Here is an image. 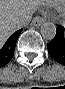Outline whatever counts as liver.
<instances>
[{"instance_id":"obj_1","label":"liver","mask_w":65,"mask_h":89,"mask_svg":"<svg viewBox=\"0 0 65 89\" xmlns=\"http://www.w3.org/2000/svg\"><path fill=\"white\" fill-rule=\"evenodd\" d=\"M38 5L34 0H0V43L3 44L18 28L17 19L31 15Z\"/></svg>"}]
</instances>
